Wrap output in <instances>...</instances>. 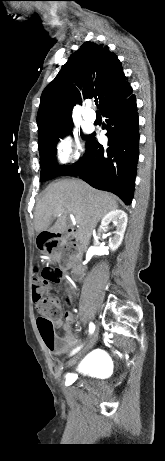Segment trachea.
Here are the masks:
<instances>
[{
  "label": "trachea",
  "instance_id": "obj_1",
  "mask_svg": "<svg viewBox=\"0 0 165 461\" xmlns=\"http://www.w3.org/2000/svg\"><path fill=\"white\" fill-rule=\"evenodd\" d=\"M97 103H98V101H97V100H95V104H96V105H97Z\"/></svg>",
  "mask_w": 165,
  "mask_h": 461
}]
</instances>
